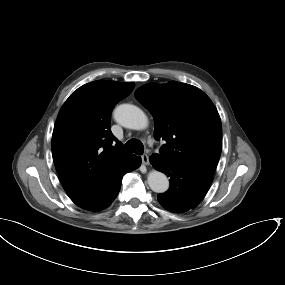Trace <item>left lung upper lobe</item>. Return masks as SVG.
<instances>
[{"label": "left lung upper lobe", "mask_w": 285, "mask_h": 285, "mask_svg": "<svg viewBox=\"0 0 285 285\" xmlns=\"http://www.w3.org/2000/svg\"><path fill=\"white\" fill-rule=\"evenodd\" d=\"M135 97L154 118L155 138L166 141L154 155L213 176L222 150V126L210 98L176 81L145 84Z\"/></svg>", "instance_id": "5c2ea615"}]
</instances>
